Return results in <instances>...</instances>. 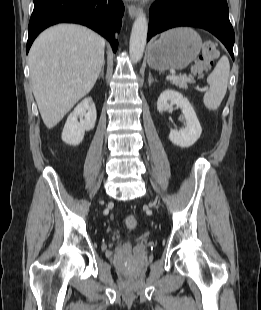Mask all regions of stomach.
Returning <instances> with one entry per match:
<instances>
[{"instance_id":"stomach-1","label":"stomach","mask_w":261,"mask_h":310,"mask_svg":"<svg viewBox=\"0 0 261 310\" xmlns=\"http://www.w3.org/2000/svg\"><path fill=\"white\" fill-rule=\"evenodd\" d=\"M201 46V37L191 28L168 30L150 45L148 64L159 71L182 70L196 59Z\"/></svg>"}]
</instances>
